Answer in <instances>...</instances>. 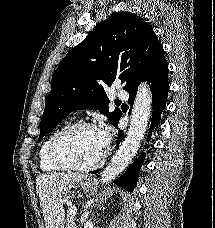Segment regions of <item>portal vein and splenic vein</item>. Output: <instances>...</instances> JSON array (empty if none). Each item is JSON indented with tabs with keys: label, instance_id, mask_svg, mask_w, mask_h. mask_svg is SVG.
I'll return each instance as SVG.
<instances>
[{
	"label": "portal vein and splenic vein",
	"instance_id": "18ae733b",
	"mask_svg": "<svg viewBox=\"0 0 215 228\" xmlns=\"http://www.w3.org/2000/svg\"><path fill=\"white\" fill-rule=\"evenodd\" d=\"M70 210H71L73 216H75V214H76V208H75V206H71Z\"/></svg>",
	"mask_w": 215,
	"mask_h": 228
}]
</instances>
